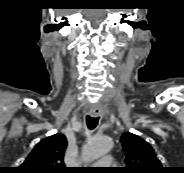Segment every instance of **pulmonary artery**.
Returning <instances> with one entry per match:
<instances>
[{"label":"pulmonary artery","instance_id":"obj_1","mask_svg":"<svg viewBox=\"0 0 184 173\" xmlns=\"http://www.w3.org/2000/svg\"><path fill=\"white\" fill-rule=\"evenodd\" d=\"M114 164L112 157L110 156H105L103 158L100 159V161H98L96 163V165H94V167H103V168H108L109 166H112Z\"/></svg>","mask_w":184,"mask_h":173}]
</instances>
